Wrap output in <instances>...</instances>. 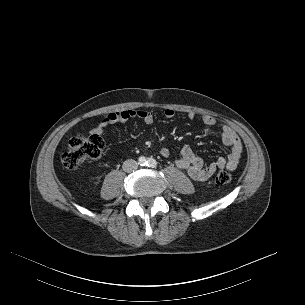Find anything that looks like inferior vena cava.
<instances>
[{
	"instance_id": "1",
	"label": "inferior vena cava",
	"mask_w": 305,
	"mask_h": 305,
	"mask_svg": "<svg viewBox=\"0 0 305 305\" xmlns=\"http://www.w3.org/2000/svg\"><path fill=\"white\" fill-rule=\"evenodd\" d=\"M123 170L127 173H131L138 168V163L133 159H128L123 163Z\"/></svg>"
}]
</instances>
